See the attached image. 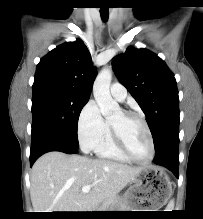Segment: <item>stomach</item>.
<instances>
[{
    "mask_svg": "<svg viewBox=\"0 0 203 219\" xmlns=\"http://www.w3.org/2000/svg\"><path fill=\"white\" fill-rule=\"evenodd\" d=\"M124 203L129 209H154L157 211L169 200L172 186L166 172L157 166L144 167L131 180Z\"/></svg>",
    "mask_w": 203,
    "mask_h": 219,
    "instance_id": "1",
    "label": "stomach"
}]
</instances>
